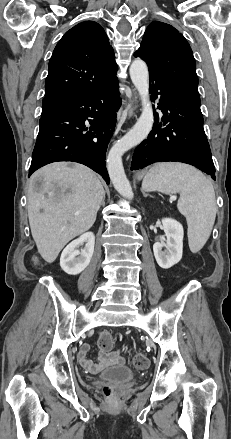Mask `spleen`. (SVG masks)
Masks as SVG:
<instances>
[{
	"label": "spleen",
	"instance_id": "obj_1",
	"mask_svg": "<svg viewBox=\"0 0 231 439\" xmlns=\"http://www.w3.org/2000/svg\"><path fill=\"white\" fill-rule=\"evenodd\" d=\"M142 190L180 193L177 208L187 220L190 250L198 252L207 242L216 217L211 181L190 165L159 163L145 175Z\"/></svg>",
	"mask_w": 231,
	"mask_h": 439
}]
</instances>
